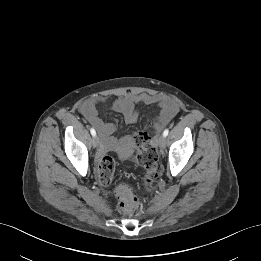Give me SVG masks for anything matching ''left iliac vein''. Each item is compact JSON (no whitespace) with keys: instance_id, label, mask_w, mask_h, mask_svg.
Here are the masks:
<instances>
[{"instance_id":"4c4485c4","label":"left iliac vein","mask_w":261,"mask_h":261,"mask_svg":"<svg viewBox=\"0 0 261 261\" xmlns=\"http://www.w3.org/2000/svg\"><path fill=\"white\" fill-rule=\"evenodd\" d=\"M157 143L160 148H164L166 145V138L163 135L159 136Z\"/></svg>"}]
</instances>
